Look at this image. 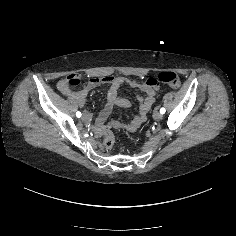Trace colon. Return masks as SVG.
Here are the masks:
<instances>
[{
  "label": "colon",
  "instance_id": "obj_1",
  "mask_svg": "<svg viewBox=\"0 0 236 236\" xmlns=\"http://www.w3.org/2000/svg\"><path fill=\"white\" fill-rule=\"evenodd\" d=\"M157 80L159 82L167 84L173 88H178L181 85L180 78L178 77V75L176 73H174L172 71L161 72L158 75ZM65 81H66V84L69 88L77 87L82 83V78L77 74H73V75H69ZM114 141H115V139H114V135L112 134V132L106 131L104 133V141H103L105 148L111 149L114 145Z\"/></svg>",
  "mask_w": 236,
  "mask_h": 236
}]
</instances>
